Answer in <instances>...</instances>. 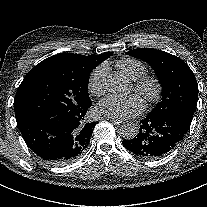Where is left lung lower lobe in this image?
<instances>
[{
	"instance_id": "left-lung-lower-lobe-1",
	"label": "left lung lower lobe",
	"mask_w": 207,
	"mask_h": 207,
	"mask_svg": "<svg viewBox=\"0 0 207 207\" xmlns=\"http://www.w3.org/2000/svg\"><path fill=\"white\" fill-rule=\"evenodd\" d=\"M141 123L138 135L122 143L127 150L149 159L170 152L190 127V124L174 115L160 117L147 115Z\"/></svg>"
}]
</instances>
